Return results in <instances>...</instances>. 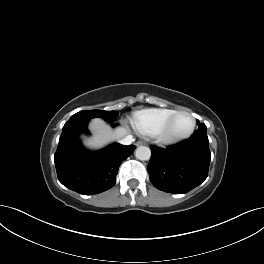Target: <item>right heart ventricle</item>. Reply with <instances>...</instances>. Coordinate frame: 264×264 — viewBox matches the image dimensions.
<instances>
[{"mask_svg":"<svg viewBox=\"0 0 264 264\" xmlns=\"http://www.w3.org/2000/svg\"><path fill=\"white\" fill-rule=\"evenodd\" d=\"M175 111L169 108L141 110L134 114L132 123L140 134L154 136Z\"/></svg>","mask_w":264,"mask_h":264,"instance_id":"right-heart-ventricle-1","label":"right heart ventricle"}]
</instances>
